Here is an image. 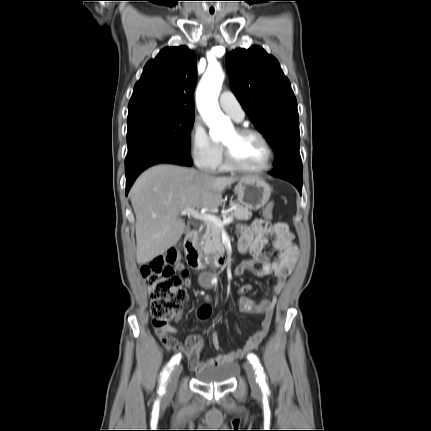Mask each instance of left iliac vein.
<instances>
[{
    "label": "left iliac vein",
    "instance_id": "left-iliac-vein-1",
    "mask_svg": "<svg viewBox=\"0 0 431 431\" xmlns=\"http://www.w3.org/2000/svg\"><path fill=\"white\" fill-rule=\"evenodd\" d=\"M244 369L246 371L251 389L254 392L259 391L260 387H259V384L257 382L256 372L254 370L253 365L250 362H245L244 363Z\"/></svg>",
    "mask_w": 431,
    "mask_h": 431
}]
</instances>
